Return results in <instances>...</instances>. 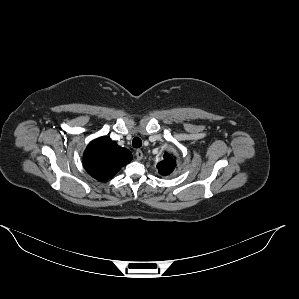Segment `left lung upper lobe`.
<instances>
[{
  "mask_svg": "<svg viewBox=\"0 0 299 299\" xmlns=\"http://www.w3.org/2000/svg\"><path fill=\"white\" fill-rule=\"evenodd\" d=\"M163 161L157 164V169L161 175H169L175 168V159L168 153L164 154Z\"/></svg>",
  "mask_w": 299,
  "mask_h": 299,
  "instance_id": "left-lung-upper-lobe-1",
  "label": "left lung upper lobe"
}]
</instances>
